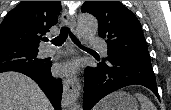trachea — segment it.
I'll return each instance as SVG.
<instances>
[{
    "instance_id": "1",
    "label": "trachea",
    "mask_w": 171,
    "mask_h": 110,
    "mask_svg": "<svg viewBox=\"0 0 171 110\" xmlns=\"http://www.w3.org/2000/svg\"><path fill=\"white\" fill-rule=\"evenodd\" d=\"M68 34L70 36V38L72 39V41L77 45L79 46L80 48H86L84 46L81 45V43L79 42V40L72 34L71 30L66 27V26H63L60 30V34L55 37L53 40H52V43L55 45V46H61L67 39L68 37ZM43 41L45 42H48V38H43L42 39Z\"/></svg>"
}]
</instances>
